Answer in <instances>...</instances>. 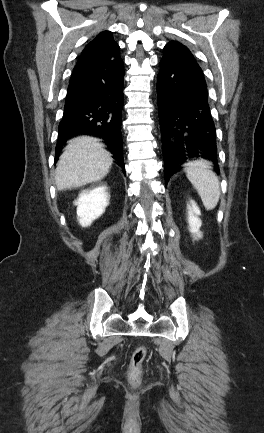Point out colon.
I'll return each mask as SVG.
<instances>
[{
	"label": "colon",
	"instance_id": "colon-1",
	"mask_svg": "<svg viewBox=\"0 0 264 433\" xmlns=\"http://www.w3.org/2000/svg\"><path fill=\"white\" fill-rule=\"evenodd\" d=\"M146 355L147 349L145 346L137 347L132 353L128 368V379L132 385L137 386L141 381Z\"/></svg>",
	"mask_w": 264,
	"mask_h": 433
}]
</instances>
